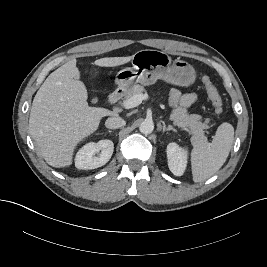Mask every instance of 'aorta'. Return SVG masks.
<instances>
[{"instance_id": "aorta-1", "label": "aorta", "mask_w": 267, "mask_h": 267, "mask_svg": "<svg viewBox=\"0 0 267 267\" xmlns=\"http://www.w3.org/2000/svg\"><path fill=\"white\" fill-rule=\"evenodd\" d=\"M139 130L142 134L148 135L154 130V123L150 119H145L139 127Z\"/></svg>"}]
</instances>
